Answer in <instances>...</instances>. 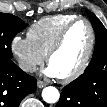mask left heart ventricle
<instances>
[{"instance_id": "left-heart-ventricle-1", "label": "left heart ventricle", "mask_w": 107, "mask_h": 107, "mask_svg": "<svg viewBox=\"0 0 107 107\" xmlns=\"http://www.w3.org/2000/svg\"><path fill=\"white\" fill-rule=\"evenodd\" d=\"M89 39V29L85 23H77L70 29L63 46L49 63L58 77L67 76L80 66L86 55Z\"/></svg>"}]
</instances>
